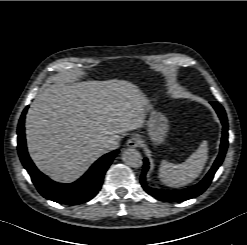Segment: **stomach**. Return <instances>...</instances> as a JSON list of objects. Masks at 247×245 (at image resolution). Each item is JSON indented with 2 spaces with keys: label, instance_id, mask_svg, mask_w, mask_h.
<instances>
[{
  "label": "stomach",
  "instance_id": "0dacf381",
  "mask_svg": "<svg viewBox=\"0 0 247 245\" xmlns=\"http://www.w3.org/2000/svg\"><path fill=\"white\" fill-rule=\"evenodd\" d=\"M152 101H157V95L154 93ZM148 135L152 144L157 147L166 142L170 129L168 118L160 111L151 108L147 121Z\"/></svg>",
  "mask_w": 247,
  "mask_h": 245
}]
</instances>
